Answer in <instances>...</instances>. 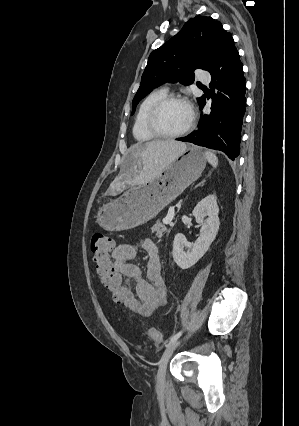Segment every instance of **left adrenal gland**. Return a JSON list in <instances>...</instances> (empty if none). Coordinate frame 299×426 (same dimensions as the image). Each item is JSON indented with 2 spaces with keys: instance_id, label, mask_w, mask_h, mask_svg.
<instances>
[{
  "instance_id": "1",
  "label": "left adrenal gland",
  "mask_w": 299,
  "mask_h": 426,
  "mask_svg": "<svg viewBox=\"0 0 299 426\" xmlns=\"http://www.w3.org/2000/svg\"><path fill=\"white\" fill-rule=\"evenodd\" d=\"M204 182H205V181H202V182H201V183H199L197 186H200V185H201V184H203ZM197 186H196V187H197Z\"/></svg>"
}]
</instances>
